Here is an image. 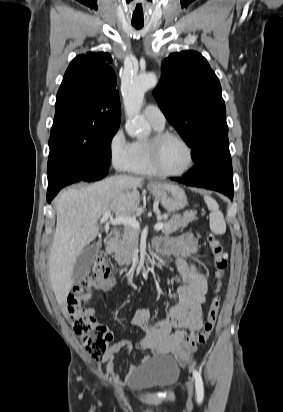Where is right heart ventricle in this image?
<instances>
[{
	"label": "right heart ventricle",
	"mask_w": 283,
	"mask_h": 412,
	"mask_svg": "<svg viewBox=\"0 0 283 412\" xmlns=\"http://www.w3.org/2000/svg\"><path fill=\"white\" fill-rule=\"evenodd\" d=\"M155 133L163 131L164 127H158L151 124ZM150 138L137 139L131 143L130 160L127 166V171L138 175H155L152 167L149 154Z\"/></svg>",
	"instance_id": "right-heart-ventricle-1"
}]
</instances>
